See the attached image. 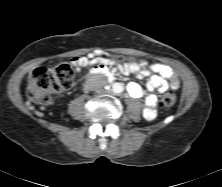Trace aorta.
Listing matches in <instances>:
<instances>
[{"instance_id": "obj_1", "label": "aorta", "mask_w": 222, "mask_h": 187, "mask_svg": "<svg viewBox=\"0 0 222 187\" xmlns=\"http://www.w3.org/2000/svg\"><path fill=\"white\" fill-rule=\"evenodd\" d=\"M123 85L121 83H114L112 85V90L115 93H121L123 91Z\"/></svg>"}]
</instances>
